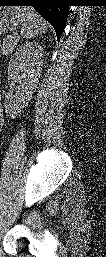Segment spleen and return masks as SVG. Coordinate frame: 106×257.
I'll return each instance as SVG.
<instances>
[{
	"label": "spleen",
	"instance_id": "obj_1",
	"mask_svg": "<svg viewBox=\"0 0 106 257\" xmlns=\"http://www.w3.org/2000/svg\"><path fill=\"white\" fill-rule=\"evenodd\" d=\"M22 21L21 36L32 39L47 29L46 22L32 7H16Z\"/></svg>",
	"mask_w": 106,
	"mask_h": 257
}]
</instances>
